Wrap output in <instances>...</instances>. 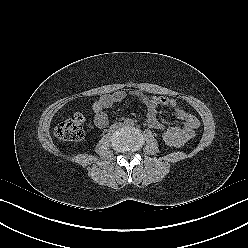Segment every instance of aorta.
<instances>
[{
  "label": "aorta",
  "instance_id": "obj_1",
  "mask_svg": "<svg viewBox=\"0 0 248 248\" xmlns=\"http://www.w3.org/2000/svg\"><path fill=\"white\" fill-rule=\"evenodd\" d=\"M125 124H126L127 126H131V125H133V120L127 119V120L125 121Z\"/></svg>",
  "mask_w": 248,
  "mask_h": 248
}]
</instances>
